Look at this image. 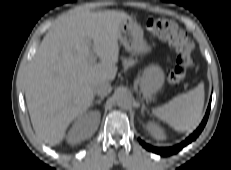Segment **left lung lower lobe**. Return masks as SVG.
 Wrapping results in <instances>:
<instances>
[{
	"instance_id": "obj_1",
	"label": "left lung lower lobe",
	"mask_w": 231,
	"mask_h": 170,
	"mask_svg": "<svg viewBox=\"0 0 231 170\" xmlns=\"http://www.w3.org/2000/svg\"><path fill=\"white\" fill-rule=\"evenodd\" d=\"M210 106H211V101L209 103V106H208V109H207V112H206V115L202 121V123L200 124V126L198 127V129L193 133L191 134L185 141H183L182 143L176 145V146H173V147H168V148H158V147H153L151 145H148L146 144L145 142H143L142 140H139L140 144L146 148L147 150L149 151H152L154 153H157V154H160L162 156H167V155H172V154H175L177 153L178 151H180L183 147H185L187 144L191 143L193 140H195L198 135L201 133V131L203 130L206 122H207V119H208V116H209V112H210Z\"/></svg>"
}]
</instances>
